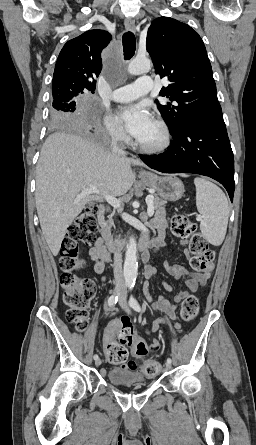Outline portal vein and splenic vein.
I'll return each mask as SVG.
<instances>
[{
	"label": "portal vein and splenic vein",
	"mask_w": 256,
	"mask_h": 445,
	"mask_svg": "<svg viewBox=\"0 0 256 445\" xmlns=\"http://www.w3.org/2000/svg\"><path fill=\"white\" fill-rule=\"evenodd\" d=\"M90 194H99V190L95 188L94 186H90L89 188H84L80 194L81 197H84L86 195ZM104 199L114 208H120L121 204L120 201L111 195H105ZM146 202L148 204L147 213L149 217H152L154 214V207H153V197H147Z\"/></svg>",
	"instance_id": "1"
}]
</instances>
